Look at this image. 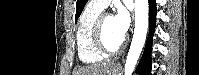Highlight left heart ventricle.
I'll use <instances>...</instances> for the list:
<instances>
[{"label":"left heart ventricle","instance_id":"obj_1","mask_svg":"<svg viewBox=\"0 0 199 75\" xmlns=\"http://www.w3.org/2000/svg\"><path fill=\"white\" fill-rule=\"evenodd\" d=\"M102 33L104 43L109 48L117 47L122 41V38L117 34L114 29L113 17L109 15H106L104 18Z\"/></svg>","mask_w":199,"mask_h":75}]
</instances>
